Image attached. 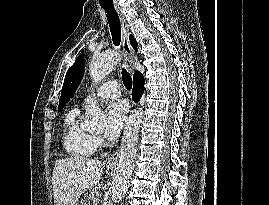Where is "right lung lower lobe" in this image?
<instances>
[{
	"label": "right lung lower lobe",
	"mask_w": 269,
	"mask_h": 205,
	"mask_svg": "<svg viewBox=\"0 0 269 205\" xmlns=\"http://www.w3.org/2000/svg\"><path fill=\"white\" fill-rule=\"evenodd\" d=\"M133 80H134V87L132 90V98L135 102H137L139 101L144 92V78L140 72L136 71L133 76Z\"/></svg>",
	"instance_id": "1"
}]
</instances>
